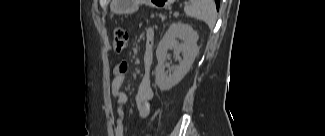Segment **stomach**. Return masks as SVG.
<instances>
[{
	"label": "stomach",
	"instance_id": "obj_1",
	"mask_svg": "<svg viewBox=\"0 0 325 136\" xmlns=\"http://www.w3.org/2000/svg\"><path fill=\"white\" fill-rule=\"evenodd\" d=\"M144 2L151 7L162 9L169 7L174 0H146ZM140 3V0H113L112 9L119 14H131L137 10Z\"/></svg>",
	"mask_w": 325,
	"mask_h": 136
}]
</instances>
